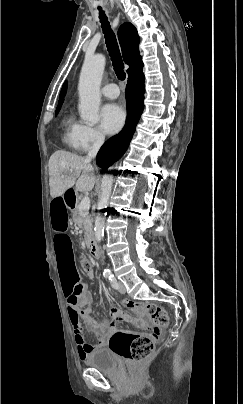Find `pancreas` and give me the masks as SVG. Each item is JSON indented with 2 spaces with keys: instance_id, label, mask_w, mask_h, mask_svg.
Wrapping results in <instances>:
<instances>
[{
  "instance_id": "pancreas-1",
  "label": "pancreas",
  "mask_w": 243,
  "mask_h": 404,
  "mask_svg": "<svg viewBox=\"0 0 243 404\" xmlns=\"http://www.w3.org/2000/svg\"><path fill=\"white\" fill-rule=\"evenodd\" d=\"M73 222L78 228H84L86 236L85 242H88V238H90L92 234V218L87 212L80 210V204H78L73 212Z\"/></svg>"
}]
</instances>
